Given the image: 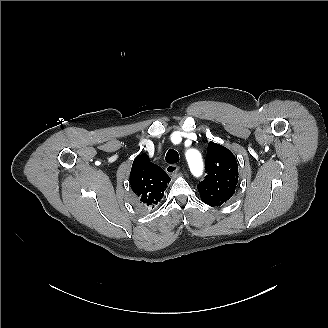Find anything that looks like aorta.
I'll list each match as a JSON object with an SVG mask.
<instances>
[{
  "instance_id": "762f6f07",
  "label": "aorta",
  "mask_w": 328,
  "mask_h": 328,
  "mask_svg": "<svg viewBox=\"0 0 328 328\" xmlns=\"http://www.w3.org/2000/svg\"><path fill=\"white\" fill-rule=\"evenodd\" d=\"M186 159L192 174L196 177L201 176L204 165L200 153L190 149L186 152Z\"/></svg>"
}]
</instances>
